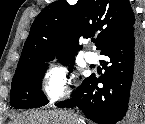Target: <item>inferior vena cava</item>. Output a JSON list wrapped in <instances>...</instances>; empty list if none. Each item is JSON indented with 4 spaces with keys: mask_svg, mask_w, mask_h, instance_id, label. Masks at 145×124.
I'll list each match as a JSON object with an SVG mask.
<instances>
[{
    "mask_svg": "<svg viewBox=\"0 0 145 124\" xmlns=\"http://www.w3.org/2000/svg\"><path fill=\"white\" fill-rule=\"evenodd\" d=\"M77 120H78V122H77L78 124H84V121L81 120L80 118H78Z\"/></svg>",
    "mask_w": 145,
    "mask_h": 124,
    "instance_id": "602c4592",
    "label": "inferior vena cava"
}]
</instances>
